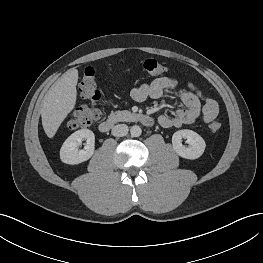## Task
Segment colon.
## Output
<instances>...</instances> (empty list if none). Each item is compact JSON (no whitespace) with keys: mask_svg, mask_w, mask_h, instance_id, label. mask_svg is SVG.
I'll return each mask as SVG.
<instances>
[{"mask_svg":"<svg viewBox=\"0 0 263 263\" xmlns=\"http://www.w3.org/2000/svg\"><path fill=\"white\" fill-rule=\"evenodd\" d=\"M143 69L149 76H160L167 72V67L155 59H147L143 62ZM81 96L88 101V105L76 108L68 119L71 129L88 126L100 117L96 105L100 99V91L96 83V73L91 67L85 69L79 84ZM221 124L213 120L209 124L211 132H217Z\"/></svg>","mask_w":263,"mask_h":263,"instance_id":"obj_1","label":"colon"}]
</instances>
